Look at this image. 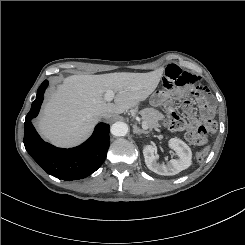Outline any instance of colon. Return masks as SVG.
<instances>
[{"label":"colon","instance_id":"1","mask_svg":"<svg viewBox=\"0 0 245 245\" xmlns=\"http://www.w3.org/2000/svg\"><path fill=\"white\" fill-rule=\"evenodd\" d=\"M169 112V126L174 131H181L186 128L185 120L173 111L170 104L167 105ZM217 130V123L212 119H207L205 122L196 130L188 131L186 134L187 140L201 148L197 151V159L202 161L208 154V148L205 147L208 142V137L214 134Z\"/></svg>","mask_w":245,"mask_h":245}]
</instances>
